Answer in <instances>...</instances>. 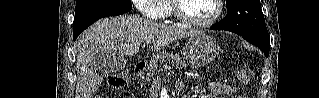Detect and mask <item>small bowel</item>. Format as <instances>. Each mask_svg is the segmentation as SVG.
Instances as JSON below:
<instances>
[{"label": "small bowel", "instance_id": "c3829d8e", "mask_svg": "<svg viewBox=\"0 0 319 98\" xmlns=\"http://www.w3.org/2000/svg\"><path fill=\"white\" fill-rule=\"evenodd\" d=\"M176 87L178 90H181L183 88V84L181 82H177ZM208 90L216 97H224L235 94L238 91V88L221 81H212L208 85ZM237 97L242 98V96Z\"/></svg>", "mask_w": 319, "mask_h": 98}]
</instances>
